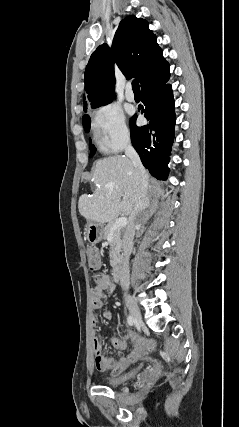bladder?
I'll return each mask as SVG.
<instances>
[{"label": "bladder", "mask_w": 239, "mask_h": 427, "mask_svg": "<svg viewBox=\"0 0 239 427\" xmlns=\"http://www.w3.org/2000/svg\"><path fill=\"white\" fill-rule=\"evenodd\" d=\"M137 372H138V369H133L130 372L123 375L107 376L104 378V382L110 386H117L132 379L137 374Z\"/></svg>", "instance_id": "31cf9c89"}]
</instances>
